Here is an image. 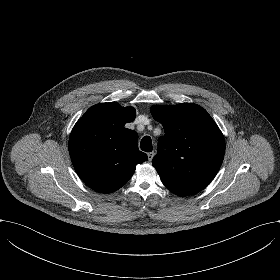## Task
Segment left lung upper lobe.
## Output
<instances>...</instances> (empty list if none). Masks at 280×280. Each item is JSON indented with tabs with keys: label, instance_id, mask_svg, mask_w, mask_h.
Here are the masks:
<instances>
[{
	"label": "left lung upper lobe",
	"instance_id": "obj_1",
	"mask_svg": "<svg viewBox=\"0 0 280 280\" xmlns=\"http://www.w3.org/2000/svg\"><path fill=\"white\" fill-rule=\"evenodd\" d=\"M150 111L165 132L152 160L163 184L178 196L200 192L216 176L224 158L225 140L219 127L193 103L154 105Z\"/></svg>",
	"mask_w": 280,
	"mask_h": 280
}]
</instances>
